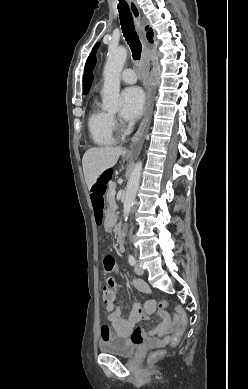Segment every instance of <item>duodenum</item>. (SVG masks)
<instances>
[{"instance_id":"1","label":"duodenum","mask_w":248,"mask_h":389,"mask_svg":"<svg viewBox=\"0 0 248 389\" xmlns=\"http://www.w3.org/2000/svg\"><path fill=\"white\" fill-rule=\"evenodd\" d=\"M118 247L120 251L124 250V239L121 231L118 233Z\"/></svg>"}]
</instances>
